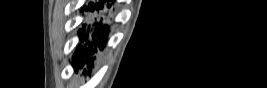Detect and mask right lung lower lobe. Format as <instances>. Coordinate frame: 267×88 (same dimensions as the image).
Here are the masks:
<instances>
[{"label":"right lung lower lobe","mask_w":267,"mask_h":88,"mask_svg":"<svg viewBox=\"0 0 267 88\" xmlns=\"http://www.w3.org/2000/svg\"><path fill=\"white\" fill-rule=\"evenodd\" d=\"M88 10H101V20L98 22H93L92 24L83 25V28L79 31V34L85 41L84 45H79L77 50L74 54L73 58V66L77 70V67H83L86 63L88 66H93V62L95 59V54L99 50H103L108 41V34L110 31V26L107 23L108 16L106 15V6L103 7V2L100 1L99 4H89ZM107 7L109 8L110 5L108 4ZM91 69L89 70L88 74L90 73ZM86 70H84V73Z\"/></svg>","instance_id":"obj_1"}]
</instances>
